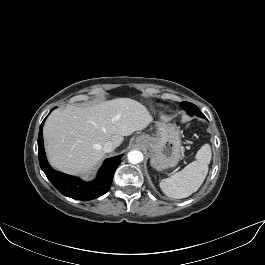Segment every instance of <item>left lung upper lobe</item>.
Here are the masks:
<instances>
[{
    "mask_svg": "<svg viewBox=\"0 0 265 265\" xmlns=\"http://www.w3.org/2000/svg\"><path fill=\"white\" fill-rule=\"evenodd\" d=\"M181 106L190 114V115H201L202 113L199 111L198 107L189 102H181Z\"/></svg>",
    "mask_w": 265,
    "mask_h": 265,
    "instance_id": "1",
    "label": "left lung upper lobe"
}]
</instances>
